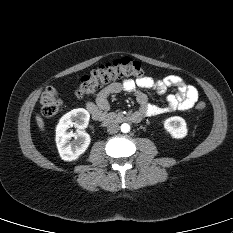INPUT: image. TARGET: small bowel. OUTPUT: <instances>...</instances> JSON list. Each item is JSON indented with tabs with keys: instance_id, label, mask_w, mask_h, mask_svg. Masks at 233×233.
<instances>
[{
	"instance_id": "small-bowel-1",
	"label": "small bowel",
	"mask_w": 233,
	"mask_h": 233,
	"mask_svg": "<svg viewBox=\"0 0 233 233\" xmlns=\"http://www.w3.org/2000/svg\"><path fill=\"white\" fill-rule=\"evenodd\" d=\"M147 89H152L160 95L165 94L169 89L172 92L166 95L167 104L159 106L149 102L143 91ZM120 92L133 94L139 104L140 112L148 117L174 111H187L194 106L199 97L197 89L185 84L177 75H168L161 79L143 76L135 80L127 79L107 85L97 93L94 101H86L85 106L95 119H99L101 115L108 114L109 97Z\"/></svg>"
}]
</instances>
